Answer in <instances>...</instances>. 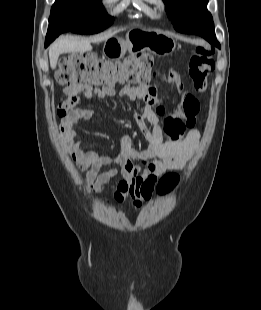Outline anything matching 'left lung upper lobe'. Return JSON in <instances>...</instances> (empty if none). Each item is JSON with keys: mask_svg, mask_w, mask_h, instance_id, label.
<instances>
[{"mask_svg": "<svg viewBox=\"0 0 261 310\" xmlns=\"http://www.w3.org/2000/svg\"><path fill=\"white\" fill-rule=\"evenodd\" d=\"M168 17L177 31L193 34L202 22H213L207 11L208 0H163Z\"/></svg>", "mask_w": 261, "mask_h": 310, "instance_id": "obj_1", "label": "left lung upper lobe"}]
</instances>
